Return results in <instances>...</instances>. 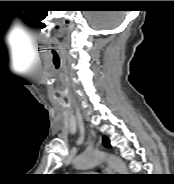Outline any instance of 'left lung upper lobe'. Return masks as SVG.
I'll return each instance as SVG.
<instances>
[{"label":"left lung upper lobe","mask_w":174,"mask_h":184,"mask_svg":"<svg viewBox=\"0 0 174 184\" xmlns=\"http://www.w3.org/2000/svg\"><path fill=\"white\" fill-rule=\"evenodd\" d=\"M103 144H104V146H106V147H110V142H109V140H108L107 137H104V138H103Z\"/></svg>","instance_id":"5c2ea615"}]
</instances>
